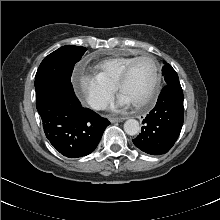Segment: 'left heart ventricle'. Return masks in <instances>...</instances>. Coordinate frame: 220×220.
<instances>
[{"label":"left heart ventricle","instance_id":"obj_1","mask_svg":"<svg viewBox=\"0 0 220 220\" xmlns=\"http://www.w3.org/2000/svg\"><path fill=\"white\" fill-rule=\"evenodd\" d=\"M154 78V65L151 59L146 58L135 64L131 75L123 86L121 94L130 103L143 100L149 93Z\"/></svg>","mask_w":220,"mask_h":220}]
</instances>
